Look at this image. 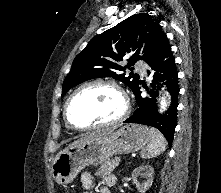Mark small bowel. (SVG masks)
<instances>
[{"instance_id":"1","label":"small bowel","mask_w":221,"mask_h":193,"mask_svg":"<svg viewBox=\"0 0 221 193\" xmlns=\"http://www.w3.org/2000/svg\"><path fill=\"white\" fill-rule=\"evenodd\" d=\"M81 182L83 184V187L88 191L93 187L94 177L90 172H83L81 174ZM113 184V176H104L99 187V193H111L109 190V186H112Z\"/></svg>"}]
</instances>
